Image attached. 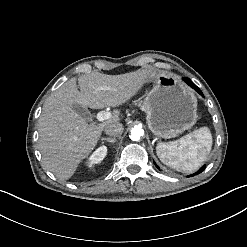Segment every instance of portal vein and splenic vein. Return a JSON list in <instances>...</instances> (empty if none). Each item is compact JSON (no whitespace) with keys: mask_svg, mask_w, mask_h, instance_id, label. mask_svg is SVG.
<instances>
[{"mask_svg":"<svg viewBox=\"0 0 247 247\" xmlns=\"http://www.w3.org/2000/svg\"><path fill=\"white\" fill-rule=\"evenodd\" d=\"M113 113L109 111H100L97 115L99 121H105L112 118Z\"/></svg>","mask_w":247,"mask_h":247,"instance_id":"1","label":"portal vein and splenic vein"}]
</instances>
